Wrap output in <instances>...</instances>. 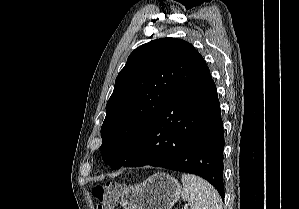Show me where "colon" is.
Returning a JSON list of instances; mask_svg holds the SVG:
<instances>
[{"mask_svg":"<svg viewBox=\"0 0 299 209\" xmlns=\"http://www.w3.org/2000/svg\"><path fill=\"white\" fill-rule=\"evenodd\" d=\"M122 190L123 186L115 182L97 184L92 189V195L98 202V209H112Z\"/></svg>","mask_w":299,"mask_h":209,"instance_id":"5ec220e1","label":"colon"}]
</instances>
